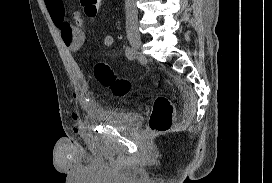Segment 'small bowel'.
<instances>
[{
    "instance_id": "obj_1",
    "label": "small bowel",
    "mask_w": 272,
    "mask_h": 183,
    "mask_svg": "<svg viewBox=\"0 0 272 183\" xmlns=\"http://www.w3.org/2000/svg\"><path fill=\"white\" fill-rule=\"evenodd\" d=\"M49 15L60 32L62 41L67 49L70 51H78L84 44L85 32L84 19L76 15L74 17V23L70 24L66 19L65 2L64 0H44ZM114 43V36L107 34L103 38V45L110 47ZM74 121H80V115L77 112L72 114Z\"/></svg>"
}]
</instances>
